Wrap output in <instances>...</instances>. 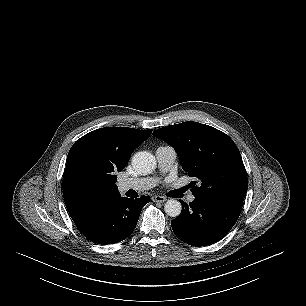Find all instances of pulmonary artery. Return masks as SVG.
Masks as SVG:
<instances>
[{
    "mask_svg": "<svg viewBox=\"0 0 306 306\" xmlns=\"http://www.w3.org/2000/svg\"><path fill=\"white\" fill-rule=\"evenodd\" d=\"M158 168L161 172H167L176 159V151L171 146H159L155 152ZM158 182L156 177L129 178L118 182V190L125 192L128 190L144 191L154 187ZM195 197L190 195L188 200L194 201Z\"/></svg>",
    "mask_w": 306,
    "mask_h": 306,
    "instance_id": "pulmonary-artery-1",
    "label": "pulmonary artery"
}]
</instances>
